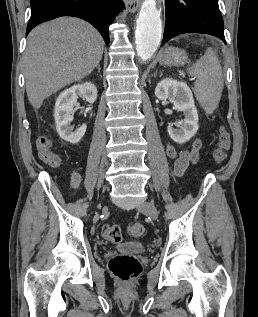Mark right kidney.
Listing matches in <instances>:
<instances>
[{
    "instance_id": "1",
    "label": "right kidney",
    "mask_w": 258,
    "mask_h": 317,
    "mask_svg": "<svg viewBox=\"0 0 258 317\" xmlns=\"http://www.w3.org/2000/svg\"><path fill=\"white\" fill-rule=\"evenodd\" d=\"M78 96H84L88 102H94L97 98V88L93 82H83V84H74L70 88H66L60 92L54 110V118L56 122V130L59 132L61 138L68 140L71 144H76L81 140L87 126L81 124L79 128L73 130L70 122L73 120L74 104L77 102Z\"/></svg>"
}]
</instances>
